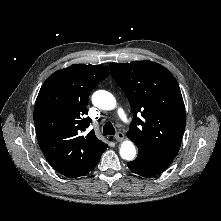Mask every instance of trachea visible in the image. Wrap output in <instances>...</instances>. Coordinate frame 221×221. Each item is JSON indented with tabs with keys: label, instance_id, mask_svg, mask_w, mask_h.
<instances>
[{
	"label": "trachea",
	"instance_id": "obj_1",
	"mask_svg": "<svg viewBox=\"0 0 221 221\" xmlns=\"http://www.w3.org/2000/svg\"><path fill=\"white\" fill-rule=\"evenodd\" d=\"M115 134V128L113 127L111 122H107L103 126V135H114Z\"/></svg>",
	"mask_w": 221,
	"mask_h": 221
}]
</instances>
